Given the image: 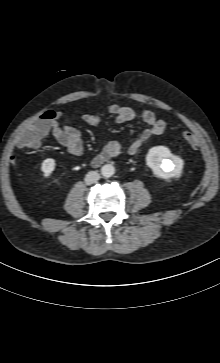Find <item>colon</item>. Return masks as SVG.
<instances>
[{
	"instance_id": "5ec220e1",
	"label": "colon",
	"mask_w": 220,
	"mask_h": 363,
	"mask_svg": "<svg viewBox=\"0 0 220 363\" xmlns=\"http://www.w3.org/2000/svg\"><path fill=\"white\" fill-rule=\"evenodd\" d=\"M56 113L48 110L43 112L32 126L24 133L26 143L29 146L38 145L51 128L53 121L56 119ZM183 140L191 146L197 144V138L189 131L182 134Z\"/></svg>"
}]
</instances>
